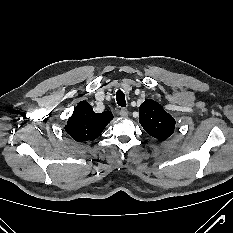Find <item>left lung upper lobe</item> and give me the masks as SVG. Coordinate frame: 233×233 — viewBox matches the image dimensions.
<instances>
[{"label": "left lung upper lobe", "mask_w": 233, "mask_h": 233, "mask_svg": "<svg viewBox=\"0 0 233 233\" xmlns=\"http://www.w3.org/2000/svg\"><path fill=\"white\" fill-rule=\"evenodd\" d=\"M139 122L148 134L160 141L170 137L175 128V119L152 99L140 105Z\"/></svg>", "instance_id": "obj_1"}]
</instances>
